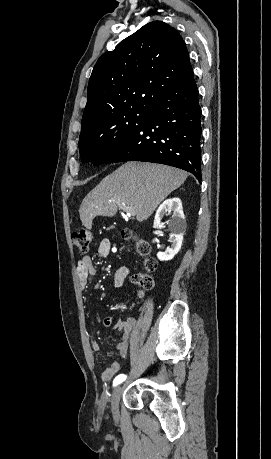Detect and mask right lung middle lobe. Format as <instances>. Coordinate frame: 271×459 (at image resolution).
I'll use <instances>...</instances> for the list:
<instances>
[{
	"mask_svg": "<svg viewBox=\"0 0 271 459\" xmlns=\"http://www.w3.org/2000/svg\"><path fill=\"white\" fill-rule=\"evenodd\" d=\"M151 109L150 105H141L82 123L79 137L81 159L95 165L107 162L146 120Z\"/></svg>",
	"mask_w": 271,
	"mask_h": 459,
	"instance_id": "dd1d6c3e",
	"label": "right lung middle lobe"
}]
</instances>
